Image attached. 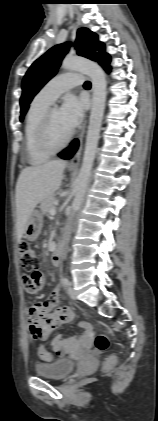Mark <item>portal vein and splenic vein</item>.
I'll return each mask as SVG.
<instances>
[{"mask_svg":"<svg viewBox=\"0 0 158 421\" xmlns=\"http://www.w3.org/2000/svg\"><path fill=\"white\" fill-rule=\"evenodd\" d=\"M55 213H56L55 208H52V209L50 210V214H51V215H54Z\"/></svg>","mask_w":158,"mask_h":421,"instance_id":"1","label":"portal vein and splenic vein"}]
</instances>
